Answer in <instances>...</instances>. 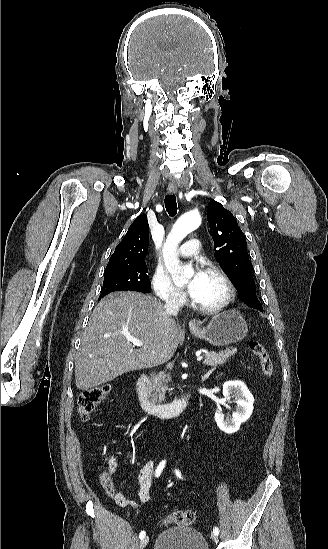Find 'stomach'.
<instances>
[{
  "label": "stomach",
  "mask_w": 328,
  "mask_h": 549,
  "mask_svg": "<svg viewBox=\"0 0 328 549\" xmlns=\"http://www.w3.org/2000/svg\"><path fill=\"white\" fill-rule=\"evenodd\" d=\"M190 329L195 337L208 341L214 347H225L242 341L248 333V325L236 309L213 315L206 327L198 329L195 325H190Z\"/></svg>",
  "instance_id": "obj_1"
}]
</instances>
